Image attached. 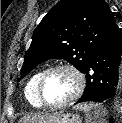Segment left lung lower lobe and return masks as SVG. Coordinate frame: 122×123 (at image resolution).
Returning <instances> with one entry per match:
<instances>
[{
    "label": "left lung lower lobe",
    "mask_w": 122,
    "mask_h": 123,
    "mask_svg": "<svg viewBox=\"0 0 122 123\" xmlns=\"http://www.w3.org/2000/svg\"><path fill=\"white\" fill-rule=\"evenodd\" d=\"M121 48L119 28L115 23L94 49L82 72L86 77V87L76 104L116 100L119 93Z\"/></svg>",
    "instance_id": "obj_1"
}]
</instances>
